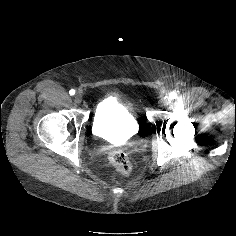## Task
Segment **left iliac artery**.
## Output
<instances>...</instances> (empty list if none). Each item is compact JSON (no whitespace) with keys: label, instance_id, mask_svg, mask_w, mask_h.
Returning a JSON list of instances; mask_svg holds the SVG:
<instances>
[{"label":"left iliac artery","instance_id":"obj_1","mask_svg":"<svg viewBox=\"0 0 236 236\" xmlns=\"http://www.w3.org/2000/svg\"><path fill=\"white\" fill-rule=\"evenodd\" d=\"M169 97H170L171 99H175V98L177 97V94H176L175 92H171V93L169 94Z\"/></svg>","mask_w":236,"mask_h":236}]
</instances>
